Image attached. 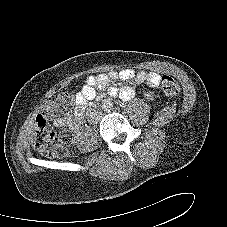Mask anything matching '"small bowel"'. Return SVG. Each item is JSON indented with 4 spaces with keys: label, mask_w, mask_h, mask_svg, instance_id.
I'll return each mask as SVG.
<instances>
[{
    "label": "small bowel",
    "mask_w": 227,
    "mask_h": 227,
    "mask_svg": "<svg viewBox=\"0 0 227 227\" xmlns=\"http://www.w3.org/2000/svg\"><path fill=\"white\" fill-rule=\"evenodd\" d=\"M117 80L132 81L133 86L142 83H147L150 86H157L161 81V75L154 71L135 72L133 69L112 71L107 74L89 75L85 84L76 94L72 114L55 119L54 125L59 128L67 127L71 131L77 132L81 127L82 117L87 103L96 97V88L106 87L110 82ZM133 86H125L121 89L110 87L108 93L110 96L119 95L122 99H131L134 95Z\"/></svg>",
    "instance_id": "small-bowel-1"
}]
</instances>
